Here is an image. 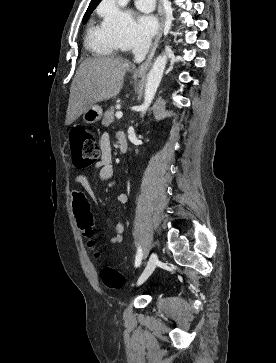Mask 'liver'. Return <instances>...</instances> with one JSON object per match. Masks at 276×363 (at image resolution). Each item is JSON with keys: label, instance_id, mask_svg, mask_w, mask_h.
<instances>
[{"label": "liver", "instance_id": "liver-1", "mask_svg": "<svg viewBox=\"0 0 276 363\" xmlns=\"http://www.w3.org/2000/svg\"><path fill=\"white\" fill-rule=\"evenodd\" d=\"M129 67L130 64L121 58L84 60L71 84L65 124H72L89 106L116 97Z\"/></svg>", "mask_w": 276, "mask_h": 363}]
</instances>
